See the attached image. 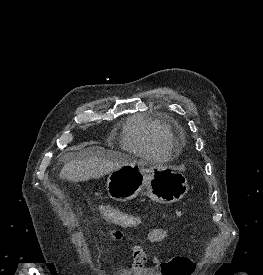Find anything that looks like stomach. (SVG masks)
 <instances>
[{
    "mask_svg": "<svg viewBox=\"0 0 263 275\" xmlns=\"http://www.w3.org/2000/svg\"><path fill=\"white\" fill-rule=\"evenodd\" d=\"M106 187L108 195L120 202L134 199L143 192L155 202L169 204L182 199L188 191L187 179L182 173L133 159L109 174Z\"/></svg>",
    "mask_w": 263,
    "mask_h": 275,
    "instance_id": "0dacf381",
    "label": "stomach"
}]
</instances>
